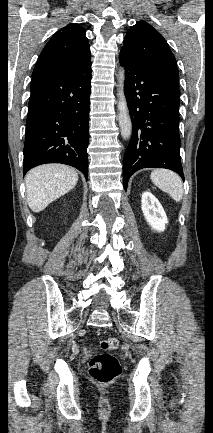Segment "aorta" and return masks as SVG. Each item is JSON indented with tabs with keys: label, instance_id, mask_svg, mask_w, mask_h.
Listing matches in <instances>:
<instances>
[{
	"label": "aorta",
	"instance_id": "obj_1",
	"mask_svg": "<svg viewBox=\"0 0 213 433\" xmlns=\"http://www.w3.org/2000/svg\"><path fill=\"white\" fill-rule=\"evenodd\" d=\"M125 71L120 68L118 73V121L123 139H129L132 134V122L124 93Z\"/></svg>",
	"mask_w": 213,
	"mask_h": 433
}]
</instances>
